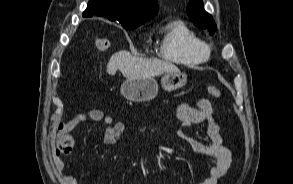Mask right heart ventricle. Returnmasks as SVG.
<instances>
[{"mask_svg": "<svg viewBox=\"0 0 293 184\" xmlns=\"http://www.w3.org/2000/svg\"><path fill=\"white\" fill-rule=\"evenodd\" d=\"M158 53L168 61L186 66L202 64L209 57L206 43L180 20L163 27Z\"/></svg>", "mask_w": 293, "mask_h": 184, "instance_id": "1", "label": "right heart ventricle"}]
</instances>
